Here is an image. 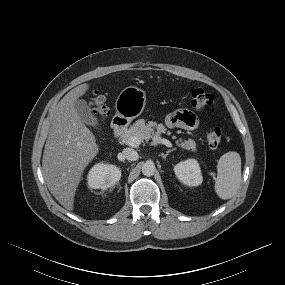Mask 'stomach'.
Returning a JSON list of instances; mask_svg holds the SVG:
<instances>
[{
  "label": "stomach",
  "mask_w": 285,
  "mask_h": 285,
  "mask_svg": "<svg viewBox=\"0 0 285 285\" xmlns=\"http://www.w3.org/2000/svg\"><path fill=\"white\" fill-rule=\"evenodd\" d=\"M145 105V92L136 86H128L120 92L116 99V115L127 122H131L141 115Z\"/></svg>",
  "instance_id": "1"
}]
</instances>
